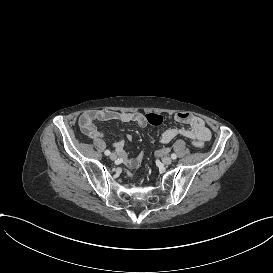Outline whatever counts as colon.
I'll return each instance as SVG.
<instances>
[{
    "label": "colon",
    "mask_w": 273,
    "mask_h": 273,
    "mask_svg": "<svg viewBox=\"0 0 273 273\" xmlns=\"http://www.w3.org/2000/svg\"><path fill=\"white\" fill-rule=\"evenodd\" d=\"M144 117L152 125L159 126L162 125L164 122V117L157 113H146ZM144 154L145 151L143 149H140L136 154L137 166L139 168H142L144 166Z\"/></svg>",
    "instance_id": "1"
}]
</instances>
